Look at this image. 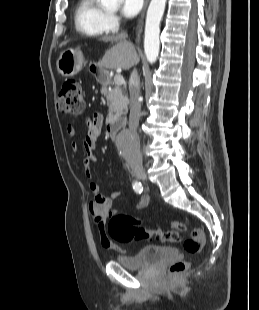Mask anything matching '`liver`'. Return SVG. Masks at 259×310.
Returning <instances> with one entry per match:
<instances>
[{
    "instance_id": "6515ba94",
    "label": "liver",
    "mask_w": 259,
    "mask_h": 310,
    "mask_svg": "<svg viewBox=\"0 0 259 310\" xmlns=\"http://www.w3.org/2000/svg\"><path fill=\"white\" fill-rule=\"evenodd\" d=\"M101 40L104 42H115V45L108 49L102 58L101 65L103 67L128 70L139 62V56L133 45L119 36H105Z\"/></svg>"
}]
</instances>
